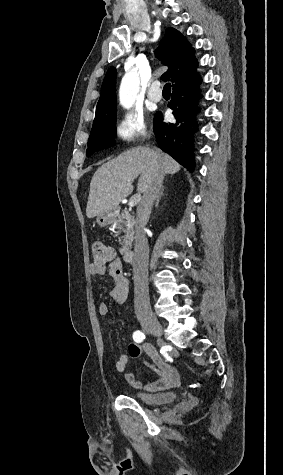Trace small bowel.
<instances>
[{"mask_svg": "<svg viewBox=\"0 0 283 475\" xmlns=\"http://www.w3.org/2000/svg\"><path fill=\"white\" fill-rule=\"evenodd\" d=\"M88 272L91 276H102L108 273L113 281V287L110 291V297L117 306L126 303L129 293V282L123 274L122 261L119 258L112 259L108 264H98L93 262L88 266ZM109 308L105 302L98 305V314L106 316ZM143 352L149 359L143 358ZM130 358L140 360L143 365L152 370L157 375V380L152 383H144L137 377L135 371H127ZM115 369L124 373L125 380L136 389L146 388L149 390H165L176 387L180 384L178 371L165 362L157 350L150 344L139 345L132 343L128 347V353L121 354L115 361Z\"/></svg>", "mask_w": 283, "mask_h": 475, "instance_id": "1", "label": "small bowel"}]
</instances>
